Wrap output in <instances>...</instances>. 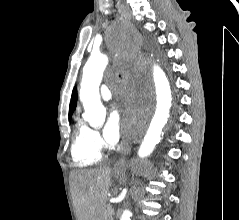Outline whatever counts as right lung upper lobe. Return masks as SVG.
Returning <instances> with one entry per match:
<instances>
[{"mask_svg":"<svg viewBox=\"0 0 239 220\" xmlns=\"http://www.w3.org/2000/svg\"><path fill=\"white\" fill-rule=\"evenodd\" d=\"M76 105H77V90L76 88H74L72 92L70 106H69V118L72 117V114L74 109L76 108Z\"/></svg>","mask_w":239,"mask_h":220,"instance_id":"right-lung-upper-lobe-1","label":"right lung upper lobe"}]
</instances>
